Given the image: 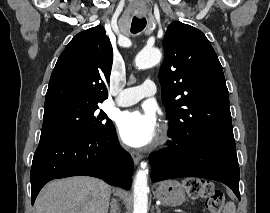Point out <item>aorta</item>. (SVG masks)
<instances>
[{"label":"aorta","mask_w":270,"mask_h":213,"mask_svg":"<svg viewBox=\"0 0 270 213\" xmlns=\"http://www.w3.org/2000/svg\"><path fill=\"white\" fill-rule=\"evenodd\" d=\"M161 51L157 48H145L141 50L136 58L135 64L138 69H147L161 60ZM148 167L147 163L142 162L134 179V204L133 213H147L148 208Z\"/></svg>","instance_id":"1"}]
</instances>
